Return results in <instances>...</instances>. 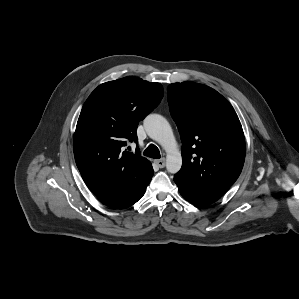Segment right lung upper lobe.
I'll return each mask as SVG.
<instances>
[{"label": "right lung upper lobe", "instance_id": "1", "mask_svg": "<svg viewBox=\"0 0 299 299\" xmlns=\"http://www.w3.org/2000/svg\"><path fill=\"white\" fill-rule=\"evenodd\" d=\"M163 87L136 77L99 85L86 100L73 139L77 167L88 188L99 196L144 186L152 164L139 152L123 151L137 143V126L161 101Z\"/></svg>", "mask_w": 299, "mask_h": 299}]
</instances>
